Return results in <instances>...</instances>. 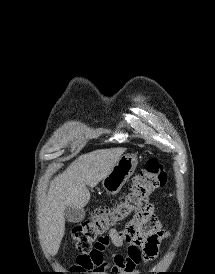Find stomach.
Wrapping results in <instances>:
<instances>
[{
    "mask_svg": "<svg viewBox=\"0 0 215 274\" xmlns=\"http://www.w3.org/2000/svg\"><path fill=\"white\" fill-rule=\"evenodd\" d=\"M137 164L138 160L135 155H122L110 173L102 181V186L105 191L109 194H117L132 176Z\"/></svg>",
    "mask_w": 215,
    "mask_h": 274,
    "instance_id": "0dacf381",
    "label": "stomach"
}]
</instances>
